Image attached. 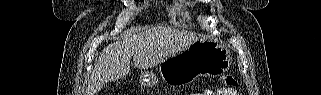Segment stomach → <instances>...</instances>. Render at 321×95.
<instances>
[{
	"label": "stomach",
	"mask_w": 321,
	"mask_h": 95,
	"mask_svg": "<svg viewBox=\"0 0 321 95\" xmlns=\"http://www.w3.org/2000/svg\"><path fill=\"white\" fill-rule=\"evenodd\" d=\"M230 52L223 45L199 39L184 50L167 57L159 65L162 80L170 85H180L196 80L199 76H218L229 69ZM158 82L153 73L140 76L143 86H153Z\"/></svg>",
	"instance_id": "1"
}]
</instances>
